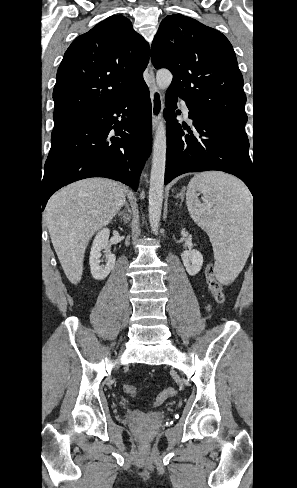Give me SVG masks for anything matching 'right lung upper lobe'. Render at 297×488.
I'll return each mask as SVG.
<instances>
[{
    "label": "right lung upper lobe",
    "mask_w": 297,
    "mask_h": 488,
    "mask_svg": "<svg viewBox=\"0 0 297 488\" xmlns=\"http://www.w3.org/2000/svg\"><path fill=\"white\" fill-rule=\"evenodd\" d=\"M148 61V43L122 15L108 17L77 37L57 71L53 132L125 96L144 81Z\"/></svg>",
    "instance_id": "right-lung-upper-lobe-1"
}]
</instances>
